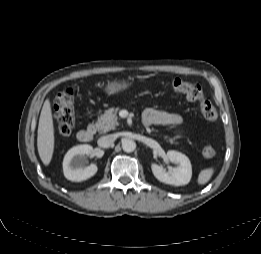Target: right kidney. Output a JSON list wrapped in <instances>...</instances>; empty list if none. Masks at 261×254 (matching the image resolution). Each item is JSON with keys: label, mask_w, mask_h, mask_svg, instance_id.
Returning <instances> with one entry per match:
<instances>
[{"label": "right kidney", "mask_w": 261, "mask_h": 254, "mask_svg": "<svg viewBox=\"0 0 261 254\" xmlns=\"http://www.w3.org/2000/svg\"><path fill=\"white\" fill-rule=\"evenodd\" d=\"M93 147L87 144L72 147L63 160L64 176L71 181H84L96 174L98 168L91 164L84 167V159L92 154Z\"/></svg>", "instance_id": "ca27d5eb"}]
</instances>
